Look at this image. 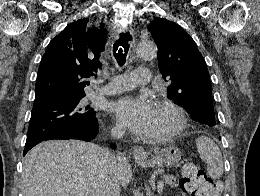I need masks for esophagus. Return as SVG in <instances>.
Returning a JSON list of instances; mask_svg holds the SVG:
<instances>
[{
	"instance_id": "34e87169",
	"label": "esophagus",
	"mask_w": 260,
	"mask_h": 196,
	"mask_svg": "<svg viewBox=\"0 0 260 196\" xmlns=\"http://www.w3.org/2000/svg\"><path fill=\"white\" fill-rule=\"evenodd\" d=\"M129 33V36H127V38L129 39V43H134V33L133 32H129L128 29H122L118 31L119 33ZM132 154L134 159L140 160V159H146L147 158V153L145 152L144 148L142 146H134L132 148Z\"/></svg>"
}]
</instances>
